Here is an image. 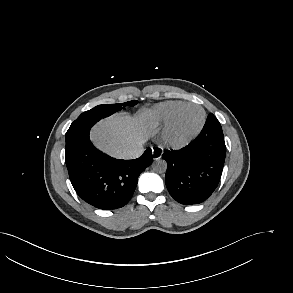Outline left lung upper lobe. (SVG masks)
Instances as JSON below:
<instances>
[{"instance_id": "obj_1", "label": "left lung upper lobe", "mask_w": 293, "mask_h": 293, "mask_svg": "<svg viewBox=\"0 0 293 293\" xmlns=\"http://www.w3.org/2000/svg\"><path fill=\"white\" fill-rule=\"evenodd\" d=\"M208 117L213 118L215 120V122L220 125L219 121L217 120V118L213 114H209Z\"/></svg>"}]
</instances>
